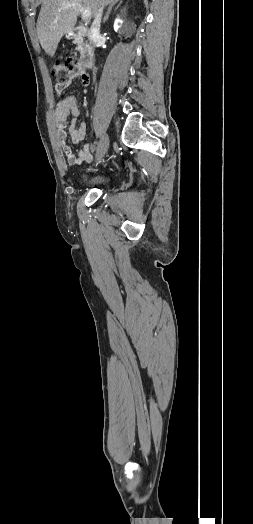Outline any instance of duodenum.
<instances>
[{"mask_svg": "<svg viewBox=\"0 0 253 524\" xmlns=\"http://www.w3.org/2000/svg\"><path fill=\"white\" fill-rule=\"evenodd\" d=\"M89 35V29L85 26H78L72 29L68 36L81 44L80 61L84 69H90L94 65V50L91 46L85 44V39Z\"/></svg>", "mask_w": 253, "mask_h": 524, "instance_id": "duodenum-1", "label": "duodenum"}]
</instances>
